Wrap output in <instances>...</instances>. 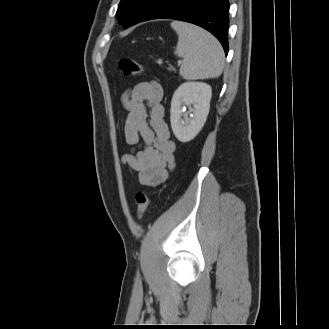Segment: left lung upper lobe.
Here are the masks:
<instances>
[{"label":"left lung upper lobe","mask_w":329,"mask_h":329,"mask_svg":"<svg viewBox=\"0 0 329 329\" xmlns=\"http://www.w3.org/2000/svg\"><path fill=\"white\" fill-rule=\"evenodd\" d=\"M152 0H121L116 13L119 21L131 23L135 15L145 8Z\"/></svg>","instance_id":"1"}]
</instances>
